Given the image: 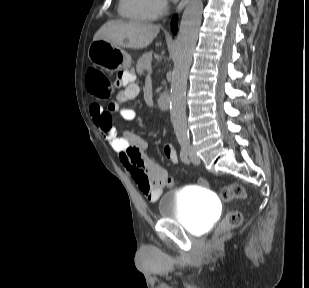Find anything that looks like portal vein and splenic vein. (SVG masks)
<instances>
[{
	"label": "portal vein and splenic vein",
	"instance_id": "1",
	"mask_svg": "<svg viewBox=\"0 0 309 288\" xmlns=\"http://www.w3.org/2000/svg\"><path fill=\"white\" fill-rule=\"evenodd\" d=\"M151 70H152V68H151V65H149L148 66V71L151 73Z\"/></svg>",
	"mask_w": 309,
	"mask_h": 288
}]
</instances>
